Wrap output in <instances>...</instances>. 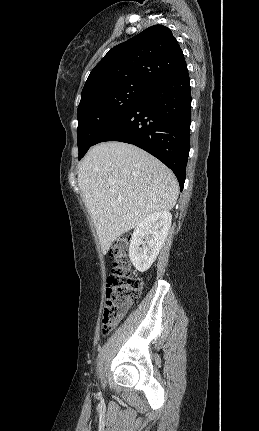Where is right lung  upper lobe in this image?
Segmentation results:
<instances>
[{
  "label": "right lung upper lobe",
  "mask_w": 259,
  "mask_h": 431,
  "mask_svg": "<svg viewBox=\"0 0 259 431\" xmlns=\"http://www.w3.org/2000/svg\"><path fill=\"white\" fill-rule=\"evenodd\" d=\"M186 69L183 52L171 30L154 25L108 51L91 71L81 101L122 86L149 89Z\"/></svg>",
  "instance_id": "right-lung-upper-lobe-1"
}]
</instances>
